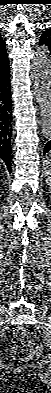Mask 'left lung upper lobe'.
<instances>
[{
    "label": "left lung upper lobe",
    "mask_w": 51,
    "mask_h": 393,
    "mask_svg": "<svg viewBox=\"0 0 51 393\" xmlns=\"http://www.w3.org/2000/svg\"><path fill=\"white\" fill-rule=\"evenodd\" d=\"M40 43L48 46L51 55V28H47L42 32Z\"/></svg>",
    "instance_id": "1"
}]
</instances>
